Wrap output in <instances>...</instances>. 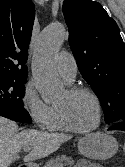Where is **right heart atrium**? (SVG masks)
<instances>
[{"mask_svg": "<svg viewBox=\"0 0 125 167\" xmlns=\"http://www.w3.org/2000/svg\"><path fill=\"white\" fill-rule=\"evenodd\" d=\"M21 104L35 127H47L52 116L53 107L42 100L32 82L25 85Z\"/></svg>", "mask_w": 125, "mask_h": 167, "instance_id": "d8ad5b80", "label": "right heart atrium"}]
</instances>
